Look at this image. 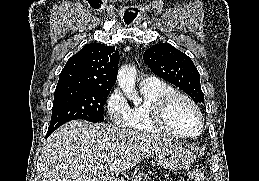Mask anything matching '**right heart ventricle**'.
<instances>
[{
    "label": "right heart ventricle",
    "mask_w": 259,
    "mask_h": 181,
    "mask_svg": "<svg viewBox=\"0 0 259 181\" xmlns=\"http://www.w3.org/2000/svg\"><path fill=\"white\" fill-rule=\"evenodd\" d=\"M142 103L129 108L128 121L125 127L141 133L170 135L159 127L154 117V107L156 102L166 93L174 89L161 81L141 85Z\"/></svg>",
    "instance_id": "right-heart-ventricle-1"
}]
</instances>
